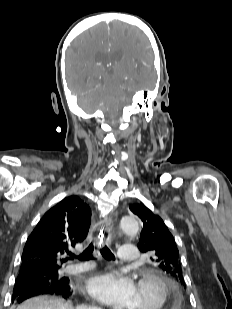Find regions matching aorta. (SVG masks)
<instances>
[{
    "instance_id": "762f6f07",
    "label": "aorta",
    "mask_w": 232,
    "mask_h": 309,
    "mask_svg": "<svg viewBox=\"0 0 232 309\" xmlns=\"http://www.w3.org/2000/svg\"><path fill=\"white\" fill-rule=\"evenodd\" d=\"M120 228L126 234L135 235L139 231V224L136 217L126 216L121 219Z\"/></svg>"
}]
</instances>
